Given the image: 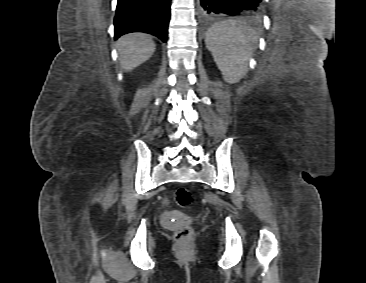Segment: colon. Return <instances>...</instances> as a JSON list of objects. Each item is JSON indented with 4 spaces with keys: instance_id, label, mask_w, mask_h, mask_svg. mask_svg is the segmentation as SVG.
I'll list each match as a JSON object with an SVG mask.
<instances>
[{
    "instance_id": "1",
    "label": "colon",
    "mask_w": 366,
    "mask_h": 283,
    "mask_svg": "<svg viewBox=\"0 0 366 283\" xmlns=\"http://www.w3.org/2000/svg\"><path fill=\"white\" fill-rule=\"evenodd\" d=\"M175 200L177 205L180 207H188L193 202V195L191 192L184 188H178L175 192ZM191 235V228L189 226H182L174 229V236L177 243L183 245L185 244Z\"/></svg>"
}]
</instances>
